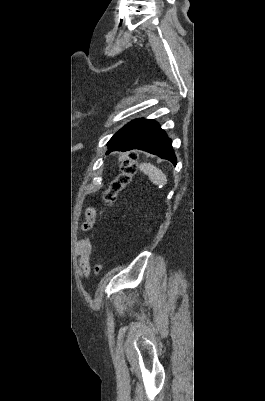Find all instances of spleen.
I'll return each mask as SVG.
<instances>
[{
	"instance_id": "obj_1",
	"label": "spleen",
	"mask_w": 265,
	"mask_h": 401,
	"mask_svg": "<svg viewBox=\"0 0 265 401\" xmlns=\"http://www.w3.org/2000/svg\"><path fill=\"white\" fill-rule=\"evenodd\" d=\"M140 170H143L145 174H148L151 182H154V184H159V186L167 184L166 174H164L160 168H156L154 164H150V162H142V164H140Z\"/></svg>"
}]
</instances>
